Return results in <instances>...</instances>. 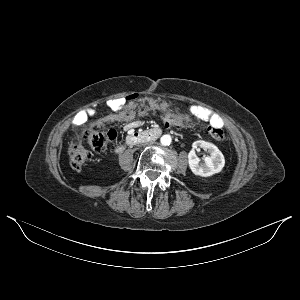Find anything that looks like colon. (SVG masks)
Listing matches in <instances>:
<instances>
[{
    "label": "colon",
    "mask_w": 300,
    "mask_h": 300,
    "mask_svg": "<svg viewBox=\"0 0 300 300\" xmlns=\"http://www.w3.org/2000/svg\"><path fill=\"white\" fill-rule=\"evenodd\" d=\"M159 115L166 127H201L205 129L213 139L217 141H224L225 139L224 132L219 126L197 121L184 111L177 109H161ZM84 136L93 150L102 151L114 142L116 139V132L113 129H87L84 132ZM68 153L70 165L74 170L81 169L91 159V152L77 143L70 146Z\"/></svg>",
    "instance_id": "5ec220e1"
}]
</instances>
